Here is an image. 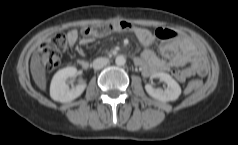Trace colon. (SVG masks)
I'll return each mask as SVG.
<instances>
[{"label": "colon", "mask_w": 238, "mask_h": 145, "mask_svg": "<svg viewBox=\"0 0 238 145\" xmlns=\"http://www.w3.org/2000/svg\"><path fill=\"white\" fill-rule=\"evenodd\" d=\"M135 28V26L126 21L105 23L84 28L81 31V36L84 41H91L113 32H133ZM67 46V38L63 34L53 35L40 46L38 59L44 71L50 72L58 67L62 55L67 50ZM201 84L200 80L191 81L186 87V92L191 93L199 89Z\"/></svg>", "instance_id": "obj_1"}]
</instances>
